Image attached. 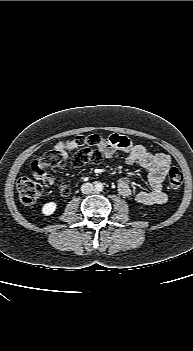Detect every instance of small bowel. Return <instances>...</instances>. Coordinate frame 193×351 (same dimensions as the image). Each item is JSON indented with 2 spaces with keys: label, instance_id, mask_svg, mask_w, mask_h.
<instances>
[{
  "label": "small bowel",
  "instance_id": "c3829d8e",
  "mask_svg": "<svg viewBox=\"0 0 193 351\" xmlns=\"http://www.w3.org/2000/svg\"><path fill=\"white\" fill-rule=\"evenodd\" d=\"M77 147L74 140L59 141L54 145V150L60 153L64 160H67L71 151ZM120 150L125 154V161L128 165L137 164L147 172L149 190L134 192L131 182L127 178H122L117 182L118 192L124 197H132L135 201L143 205H161L167 201V195L163 190V182L171 165V158L164 153H151L140 144L133 143L125 136L113 134L109 136V145L101 148L102 154L106 158H112ZM43 180L44 177L36 176ZM67 195L70 188L66 189Z\"/></svg>",
  "mask_w": 193,
  "mask_h": 351
}]
</instances>
